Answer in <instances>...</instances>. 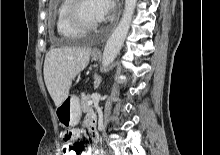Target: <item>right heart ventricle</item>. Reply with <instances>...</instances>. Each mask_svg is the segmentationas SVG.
I'll return each mask as SVG.
<instances>
[{"label":"right heart ventricle","mask_w":220,"mask_h":155,"mask_svg":"<svg viewBox=\"0 0 220 155\" xmlns=\"http://www.w3.org/2000/svg\"><path fill=\"white\" fill-rule=\"evenodd\" d=\"M71 0H61L56 10V30L57 33L67 39H75L82 37L85 32L73 27L67 17V11Z\"/></svg>","instance_id":"1"}]
</instances>
